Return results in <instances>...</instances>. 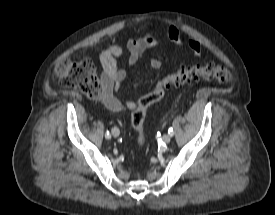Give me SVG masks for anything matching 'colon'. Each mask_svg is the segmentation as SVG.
Here are the masks:
<instances>
[{
	"mask_svg": "<svg viewBox=\"0 0 275 215\" xmlns=\"http://www.w3.org/2000/svg\"><path fill=\"white\" fill-rule=\"evenodd\" d=\"M56 73L63 86L75 88L90 99L101 97L102 86L90 59L60 60L56 66ZM231 79L232 73L228 68L206 62L192 67H181L175 73L169 74L158 81L151 93L139 99L131 116L132 126L138 133L137 145L143 146L145 143L144 120L148 107L162 99L167 89L176 88L197 80H214L219 83H228Z\"/></svg>",
	"mask_w": 275,
	"mask_h": 215,
	"instance_id": "1",
	"label": "colon"
}]
</instances>
